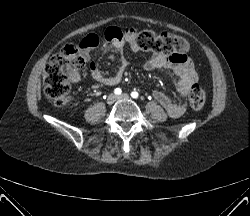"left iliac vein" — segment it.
Instances as JSON below:
<instances>
[{"mask_svg":"<svg viewBox=\"0 0 250 216\" xmlns=\"http://www.w3.org/2000/svg\"><path fill=\"white\" fill-rule=\"evenodd\" d=\"M118 100H122V99H125V100H127V99H129L130 98V96L128 95V94H121V95H119V96H117L116 97Z\"/></svg>","mask_w":250,"mask_h":216,"instance_id":"left-iliac-vein-1","label":"left iliac vein"}]
</instances>
